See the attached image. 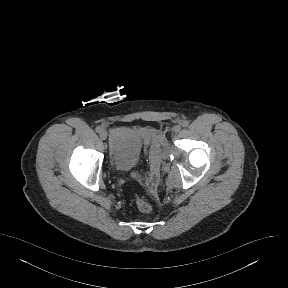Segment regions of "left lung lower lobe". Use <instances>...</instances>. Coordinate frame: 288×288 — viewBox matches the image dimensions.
Instances as JSON below:
<instances>
[{
  "label": "left lung lower lobe",
  "mask_w": 288,
  "mask_h": 288,
  "mask_svg": "<svg viewBox=\"0 0 288 288\" xmlns=\"http://www.w3.org/2000/svg\"><path fill=\"white\" fill-rule=\"evenodd\" d=\"M264 207H265L264 201L262 199H258L256 203L253 205V207L250 209L249 214L254 215L255 217L259 216L263 212ZM261 218L262 216H260L256 221H260Z\"/></svg>",
  "instance_id": "left-lung-lower-lobe-1"
}]
</instances>
